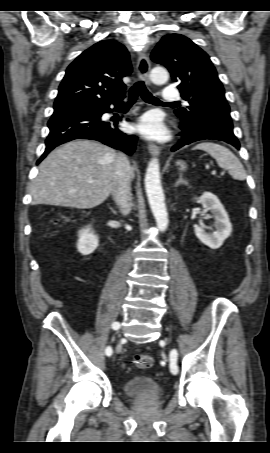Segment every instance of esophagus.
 <instances>
[{
  "label": "esophagus",
  "mask_w": 270,
  "mask_h": 453,
  "mask_svg": "<svg viewBox=\"0 0 270 453\" xmlns=\"http://www.w3.org/2000/svg\"><path fill=\"white\" fill-rule=\"evenodd\" d=\"M150 61L146 54L141 53L137 60V74L141 80L149 84ZM147 149L150 154L156 156L160 154V147L154 143H148Z\"/></svg>",
  "instance_id": "obj_1"
}]
</instances>
